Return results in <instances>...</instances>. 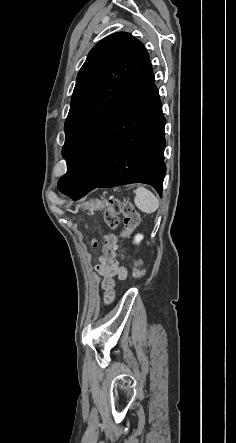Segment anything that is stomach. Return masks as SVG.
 I'll use <instances>...</instances> for the list:
<instances>
[{"instance_id":"0dacf381","label":"stomach","mask_w":236,"mask_h":443,"mask_svg":"<svg viewBox=\"0 0 236 443\" xmlns=\"http://www.w3.org/2000/svg\"><path fill=\"white\" fill-rule=\"evenodd\" d=\"M91 206L93 208L102 209L104 207V204L101 201H96V202L92 203Z\"/></svg>"}]
</instances>
